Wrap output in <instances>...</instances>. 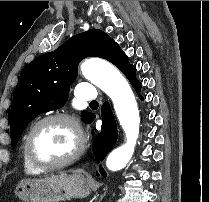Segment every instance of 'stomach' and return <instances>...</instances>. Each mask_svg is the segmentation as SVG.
<instances>
[{"label":"stomach","instance_id":"obj_1","mask_svg":"<svg viewBox=\"0 0 209 202\" xmlns=\"http://www.w3.org/2000/svg\"><path fill=\"white\" fill-rule=\"evenodd\" d=\"M15 193L23 202H61L87 197L91 193V186L80 173L59 174L21 180Z\"/></svg>","mask_w":209,"mask_h":202}]
</instances>
